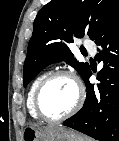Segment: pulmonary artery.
<instances>
[{
  "label": "pulmonary artery",
  "mask_w": 119,
  "mask_h": 141,
  "mask_svg": "<svg viewBox=\"0 0 119 141\" xmlns=\"http://www.w3.org/2000/svg\"><path fill=\"white\" fill-rule=\"evenodd\" d=\"M84 46H85L92 54H95L96 49H95V47H94V45H93L92 42H86V43L84 44Z\"/></svg>",
  "instance_id": "pulmonary-artery-1"
}]
</instances>
